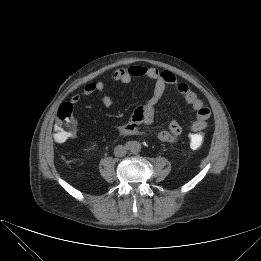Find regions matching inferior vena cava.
I'll list each match as a JSON object with an SVG mask.
<instances>
[{
    "label": "inferior vena cava",
    "mask_w": 261,
    "mask_h": 261,
    "mask_svg": "<svg viewBox=\"0 0 261 261\" xmlns=\"http://www.w3.org/2000/svg\"><path fill=\"white\" fill-rule=\"evenodd\" d=\"M126 153H127V148L123 145H118L114 149V155L116 157H123L126 155Z\"/></svg>",
    "instance_id": "inferior-vena-cava-1"
}]
</instances>
